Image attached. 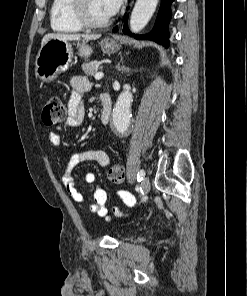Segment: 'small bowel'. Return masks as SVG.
Segmentation results:
<instances>
[{
    "label": "small bowel",
    "instance_id": "1",
    "mask_svg": "<svg viewBox=\"0 0 247 296\" xmlns=\"http://www.w3.org/2000/svg\"><path fill=\"white\" fill-rule=\"evenodd\" d=\"M70 84L71 96L68 101V116L61 127L52 130L49 134L50 141L57 148H62V141L59 134V131L62 127L68 129H77L82 125L85 115L82 97L91 89V84L85 78L79 76L73 77ZM68 155L69 160L63 169L62 182L67 192L76 202L84 203L85 197L78 191L76 181L72 176L73 168L87 161H96L101 166H107L109 164V159L105 153L95 149H87L79 152H68ZM84 179L88 184L96 183V176L93 173H87ZM117 196L127 206H133L135 204L134 197L126 191L119 190L117 192ZM93 200V204L90 205L91 212L98 215L100 218L108 219L110 217L109 210L105 205L107 201V193L102 187L96 185L93 193ZM113 210L115 213H118L116 208Z\"/></svg>",
    "mask_w": 247,
    "mask_h": 296
}]
</instances>
